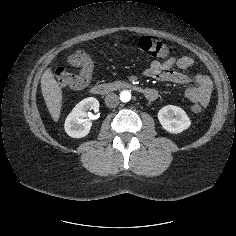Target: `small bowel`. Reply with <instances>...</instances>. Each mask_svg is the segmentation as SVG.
Masks as SVG:
<instances>
[{
	"instance_id": "1",
	"label": "small bowel",
	"mask_w": 236,
	"mask_h": 236,
	"mask_svg": "<svg viewBox=\"0 0 236 236\" xmlns=\"http://www.w3.org/2000/svg\"><path fill=\"white\" fill-rule=\"evenodd\" d=\"M193 64L194 60L189 56L171 57L165 61L154 60L145 70V75L158 81L177 85L194 83L185 90V97L194 104L206 107L210 102L213 90V82L210 77L200 73L188 76L179 71L189 69ZM151 90L155 92V95L149 99L155 100L158 93L154 89Z\"/></svg>"
}]
</instances>
